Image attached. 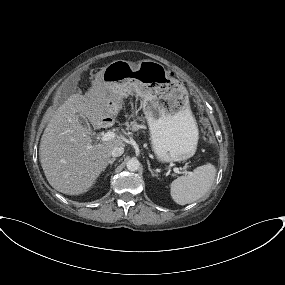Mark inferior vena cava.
I'll list each match as a JSON object with an SVG mask.
<instances>
[{"instance_id": "obj_1", "label": "inferior vena cava", "mask_w": 285, "mask_h": 285, "mask_svg": "<svg viewBox=\"0 0 285 285\" xmlns=\"http://www.w3.org/2000/svg\"><path fill=\"white\" fill-rule=\"evenodd\" d=\"M124 153V148L123 146H116L113 148L111 152L112 157H119Z\"/></svg>"}]
</instances>
